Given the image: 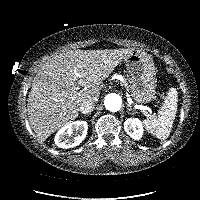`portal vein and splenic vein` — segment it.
I'll list each match as a JSON object with an SVG mask.
<instances>
[{"instance_id": "18ae733b", "label": "portal vein and splenic vein", "mask_w": 200, "mask_h": 200, "mask_svg": "<svg viewBox=\"0 0 200 200\" xmlns=\"http://www.w3.org/2000/svg\"><path fill=\"white\" fill-rule=\"evenodd\" d=\"M137 109L142 110V111L144 112L145 115H147L148 112H149V113H152L151 109H149V108L146 107V106L137 105ZM147 111H148V112H147Z\"/></svg>"}]
</instances>
